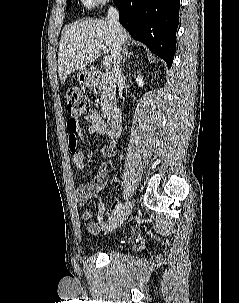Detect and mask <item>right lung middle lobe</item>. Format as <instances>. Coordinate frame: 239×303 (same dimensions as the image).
I'll return each mask as SVG.
<instances>
[{
  "instance_id": "obj_1",
  "label": "right lung middle lobe",
  "mask_w": 239,
  "mask_h": 303,
  "mask_svg": "<svg viewBox=\"0 0 239 303\" xmlns=\"http://www.w3.org/2000/svg\"><path fill=\"white\" fill-rule=\"evenodd\" d=\"M71 4V0H68L67 7Z\"/></svg>"
}]
</instances>
